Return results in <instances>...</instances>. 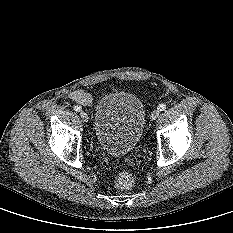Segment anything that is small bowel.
Returning <instances> with one entry per match:
<instances>
[{
  "instance_id": "1",
  "label": "small bowel",
  "mask_w": 233,
  "mask_h": 233,
  "mask_svg": "<svg viewBox=\"0 0 233 233\" xmlns=\"http://www.w3.org/2000/svg\"><path fill=\"white\" fill-rule=\"evenodd\" d=\"M71 98L79 104L90 105L92 103V97L81 90H77L71 94Z\"/></svg>"
}]
</instances>
